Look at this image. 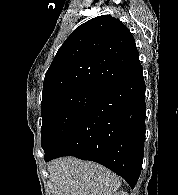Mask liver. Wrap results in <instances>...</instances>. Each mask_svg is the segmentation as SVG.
I'll return each instance as SVG.
<instances>
[{
    "label": "liver",
    "instance_id": "1",
    "mask_svg": "<svg viewBox=\"0 0 178 195\" xmlns=\"http://www.w3.org/2000/svg\"><path fill=\"white\" fill-rule=\"evenodd\" d=\"M54 195H113L121 179L100 164L73 157L48 165Z\"/></svg>",
    "mask_w": 178,
    "mask_h": 195
}]
</instances>
